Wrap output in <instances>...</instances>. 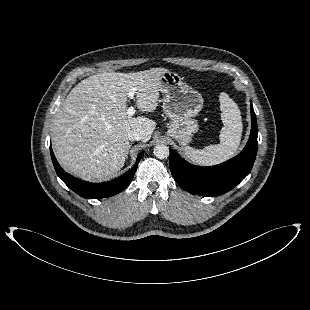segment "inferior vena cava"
I'll return each instance as SVG.
<instances>
[{
  "label": "inferior vena cava",
  "mask_w": 310,
  "mask_h": 310,
  "mask_svg": "<svg viewBox=\"0 0 310 310\" xmlns=\"http://www.w3.org/2000/svg\"><path fill=\"white\" fill-rule=\"evenodd\" d=\"M128 138L130 141H138L142 139V135L138 130H133L128 133Z\"/></svg>",
  "instance_id": "inferior-vena-cava-1"
}]
</instances>
